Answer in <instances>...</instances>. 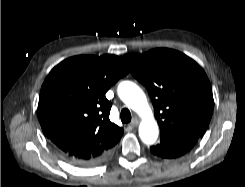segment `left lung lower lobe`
Returning <instances> with one entry per match:
<instances>
[{
  "instance_id": "1",
  "label": "left lung lower lobe",
  "mask_w": 245,
  "mask_h": 187,
  "mask_svg": "<svg viewBox=\"0 0 245 187\" xmlns=\"http://www.w3.org/2000/svg\"><path fill=\"white\" fill-rule=\"evenodd\" d=\"M199 136L185 135V136H161V141L158 145L152 146L150 151L162 158H177L193 148Z\"/></svg>"
}]
</instances>
